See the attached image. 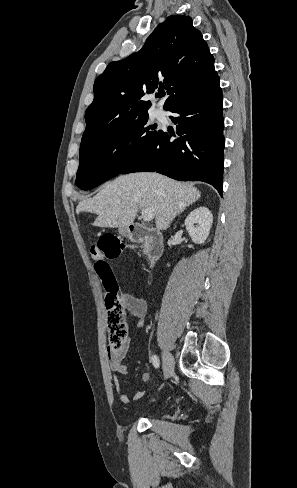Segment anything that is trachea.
<instances>
[{
  "mask_svg": "<svg viewBox=\"0 0 297 488\" xmlns=\"http://www.w3.org/2000/svg\"><path fill=\"white\" fill-rule=\"evenodd\" d=\"M164 95H165V93H160V94H159V97H162V96H164Z\"/></svg>",
  "mask_w": 297,
  "mask_h": 488,
  "instance_id": "obj_1",
  "label": "trachea"
}]
</instances>
